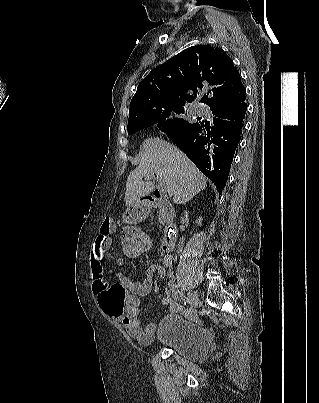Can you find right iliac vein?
Listing matches in <instances>:
<instances>
[{
    "instance_id": "obj_1",
    "label": "right iliac vein",
    "mask_w": 319,
    "mask_h": 403,
    "mask_svg": "<svg viewBox=\"0 0 319 403\" xmlns=\"http://www.w3.org/2000/svg\"><path fill=\"white\" fill-rule=\"evenodd\" d=\"M188 301L191 309L194 310L198 305V294L195 291H190L188 293Z\"/></svg>"
}]
</instances>
